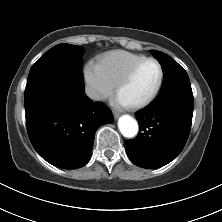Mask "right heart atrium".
<instances>
[{
	"mask_svg": "<svg viewBox=\"0 0 222 222\" xmlns=\"http://www.w3.org/2000/svg\"><path fill=\"white\" fill-rule=\"evenodd\" d=\"M84 77L88 95L92 100L101 102L113 94L114 85L103 76L98 64L88 62L84 69Z\"/></svg>",
	"mask_w": 222,
	"mask_h": 222,
	"instance_id": "obj_1",
	"label": "right heart atrium"
}]
</instances>
